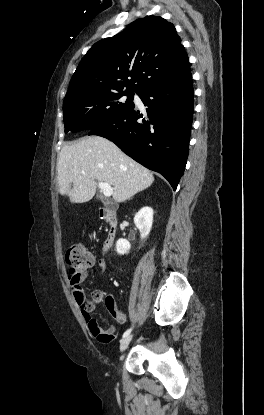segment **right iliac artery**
Here are the masks:
<instances>
[{
    "label": "right iliac artery",
    "instance_id": "right-iliac-artery-1",
    "mask_svg": "<svg viewBox=\"0 0 264 415\" xmlns=\"http://www.w3.org/2000/svg\"><path fill=\"white\" fill-rule=\"evenodd\" d=\"M131 331H132V327H131V328H129V329H127V330L124 332V334H123L122 338L127 337V336L131 333Z\"/></svg>",
    "mask_w": 264,
    "mask_h": 415
}]
</instances>
